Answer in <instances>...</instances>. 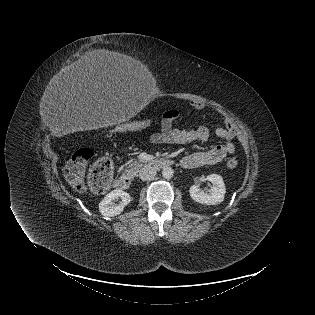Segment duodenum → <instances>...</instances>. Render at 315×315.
<instances>
[{"instance_id":"duodenum-1","label":"duodenum","mask_w":315,"mask_h":315,"mask_svg":"<svg viewBox=\"0 0 315 315\" xmlns=\"http://www.w3.org/2000/svg\"><path fill=\"white\" fill-rule=\"evenodd\" d=\"M155 164L160 168H166L173 164V161L169 158H160L155 160ZM133 173H124L116 179L114 186L119 190H124L130 187L133 181Z\"/></svg>"}]
</instances>
